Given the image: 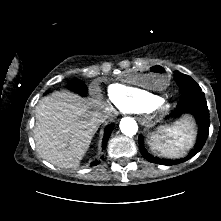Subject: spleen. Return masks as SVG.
Segmentation results:
<instances>
[{"mask_svg": "<svg viewBox=\"0 0 221 221\" xmlns=\"http://www.w3.org/2000/svg\"><path fill=\"white\" fill-rule=\"evenodd\" d=\"M194 139V124L185 116L174 125L166 127L162 133L153 134L149 145L152 151L159 152L161 156L178 157L193 145Z\"/></svg>", "mask_w": 221, "mask_h": 221, "instance_id": "3e777b00", "label": "spleen"}]
</instances>
